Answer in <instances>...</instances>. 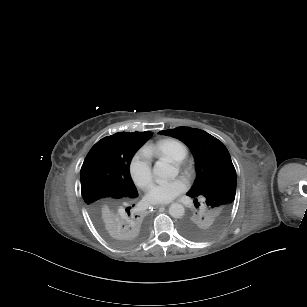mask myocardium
<instances>
[{"label":"myocardium","instance_id":"f54148a6","mask_svg":"<svg viewBox=\"0 0 307 307\" xmlns=\"http://www.w3.org/2000/svg\"><path fill=\"white\" fill-rule=\"evenodd\" d=\"M195 164V160L189 157L182 159L180 163L181 168L185 173L192 172L195 168Z\"/></svg>","mask_w":307,"mask_h":307}]
</instances>
